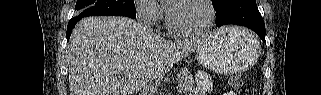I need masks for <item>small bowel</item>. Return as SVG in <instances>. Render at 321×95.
<instances>
[{"instance_id": "c3829d8e", "label": "small bowel", "mask_w": 321, "mask_h": 95, "mask_svg": "<svg viewBox=\"0 0 321 95\" xmlns=\"http://www.w3.org/2000/svg\"><path fill=\"white\" fill-rule=\"evenodd\" d=\"M224 95H234V93L233 92H226V93H224Z\"/></svg>"}]
</instances>
